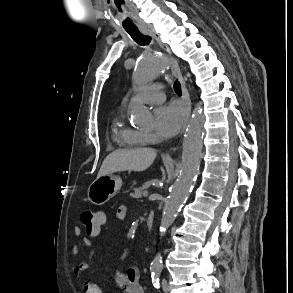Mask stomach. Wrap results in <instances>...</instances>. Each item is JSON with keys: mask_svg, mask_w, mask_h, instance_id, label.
Segmentation results:
<instances>
[{"mask_svg": "<svg viewBox=\"0 0 293 293\" xmlns=\"http://www.w3.org/2000/svg\"><path fill=\"white\" fill-rule=\"evenodd\" d=\"M122 180L115 175H104L97 178L88 188V200L94 205H103L117 194Z\"/></svg>", "mask_w": 293, "mask_h": 293, "instance_id": "1", "label": "stomach"}]
</instances>
